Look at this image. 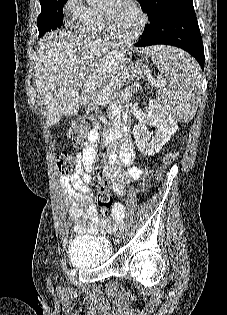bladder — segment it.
I'll return each instance as SVG.
<instances>
[{
    "label": "bladder",
    "mask_w": 227,
    "mask_h": 315,
    "mask_svg": "<svg viewBox=\"0 0 227 315\" xmlns=\"http://www.w3.org/2000/svg\"><path fill=\"white\" fill-rule=\"evenodd\" d=\"M67 253L76 266L95 268L110 260L112 247L102 236H78L71 240Z\"/></svg>",
    "instance_id": "obj_1"
}]
</instances>
